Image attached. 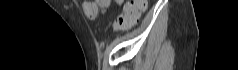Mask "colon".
Returning <instances> with one entry per match:
<instances>
[{"label": "colon", "instance_id": "obj_1", "mask_svg": "<svg viewBox=\"0 0 238 70\" xmlns=\"http://www.w3.org/2000/svg\"><path fill=\"white\" fill-rule=\"evenodd\" d=\"M114 4L118 7L121 0H116ZM85 2V1H84ZM147 1L146 0H132L128 1L124 7L122 15L118 18L116 22V28L120 30L131 29L138 21L140 13L146 9ZM89 18L94 19L98 16L99 10L94 6H88L87 12Z\"/></svg>", "mask_w": 238, "mask_h": 70}]
</instances>
